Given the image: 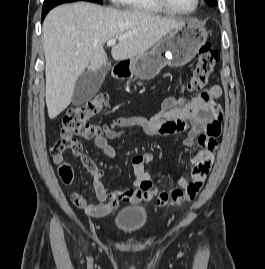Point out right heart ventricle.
Here are the masks:
<instances>
[{"label":"right heart ventricle","mask_w":265,"mask_h":269,"mask_svg":"<svg viewBox=\"0 0 265 269\" xmlns=\"http://www.w3.org/2000/svg\"><path fill=\"white\" fill-rule=\"evenodd\" d=\"M121 4L131 10L145 11V12H161L163 11L154 0H122Z\"/></svg>","instance_id":"obj_1"}]
</instances>
